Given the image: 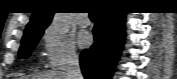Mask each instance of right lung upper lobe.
<instances>
[{
  "label": "right lung upper lobe",
  "mask_w": 177,
  "mask_h": 79,
  "mask_svg": "<svg viewBox=\"0 0 177 79\" xmlns=\"http://www.w3.org/2000/svg\"><path fill=\"white\" fill-rule=\"evenodd\" d=\"M53 12L43 7L33 12L30 22L28 23L22 40L30 37L37 31L44 30L52 20Z\"/></svg>",
  "instance_id": "1"
}]
</instances>
